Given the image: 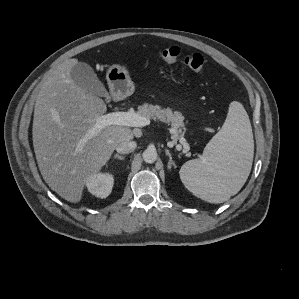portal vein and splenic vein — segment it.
<instances>
[{
  "label": "portal vein and splenic vein",
  "mask_w": 299,
  "mask_h": 299,
  "mask_svg": "<svg viewBox=\"0 0 299 299\" xmlns=\"http://www.w3.org/2000/svg\"><path fill=\"white\" fill-rule=\"evenodd\" d=\"M148 124H150V121L148 119L133 112H111L102 115L96 120V123L89 130L85 139L78 144L76 151H81L84 142H86L89 138L96 135L98 132L109 125L143 127Z\"/></svg>",
  "instance_id": "18ae733b"
}]
</instances>
